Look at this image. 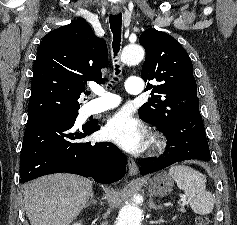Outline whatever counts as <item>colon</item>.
Wrapping results in <instances>:
<instances>
[{"label":"colon","mask_w":237,"mask_h":225,"mask_svg":"<svg viewBox=\"0 0 237 225\" xmlns=\"http://www.w3.org/2000/svg\"><path fill=\"white\" fill-rule=\"evenodd\" d=\"M209 224V220L205 217H200L197 220V225H208Z\"/></svg>","instance_id":"1"}]
</instances>
